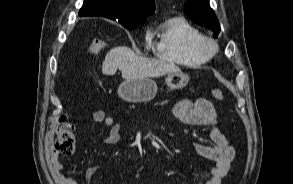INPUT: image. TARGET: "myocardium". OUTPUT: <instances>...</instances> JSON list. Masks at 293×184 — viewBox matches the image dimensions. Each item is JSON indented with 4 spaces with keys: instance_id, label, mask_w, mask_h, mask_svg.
Returning a JSON list of instances; mask_svg holds the SVG:
<instances>
[{
    "instance_id": "f54148a6",
    "label": "myocardium",
    "mask_w": 293,
    "mask_h": 184,
    "mask_svg": "<svg viewBox=\"0 0 293 184\" xmlns=\"http://www.w3.org/2000/svg\"><path fill=\"white\" fill-rule=\"evenodd\" d=\"M197 46L198 49L208 57L214 55L218 50L217 42L213 38L207 36H202Z\"/></svg>"
}]
</instances>
